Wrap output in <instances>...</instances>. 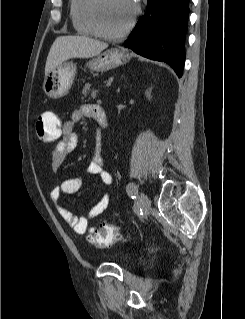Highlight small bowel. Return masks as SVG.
I'll use <instances>...</instances> for the list:
<instances>
[{
    "label": "small bowel",
    "mask_w": 245,
    "mask_h": 319,
    "mask_svg": "<svg viewBox=\"0 0 245 319\" xmlns=\"http://www.w3.org/2000/svg\"><path fill=\"white\" fill-rule=\"evenodd\" d=\"M104 111L101 106L96 104H85L75 110L71 117L66 120L62 127L61 139L55 145L51 155V167L53 171H58L63 165L66 156L74 151L79 144L80 137L75 130V124L83 118H89L97 121V118ZM98 143V140H97ZM89 173L99 178L102 184L110 186L113 182L112 175L104 168V160L96 147L95 156L92 164L89 166ZM83 185L79 177L68 178L61 181L50 192V199L53 202L61 218L69 225L76 234H84L88 228L89 221L101 215L110 205V196L105 194L90 209L86 216L77 217L69 211L60 201L62 194L77 193Z\"/></svg>",
    "instance_id": "obj_1"
}]
</instances>
